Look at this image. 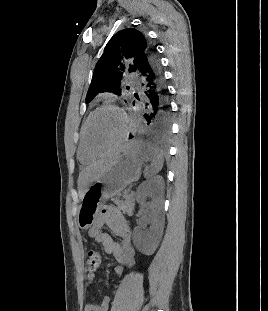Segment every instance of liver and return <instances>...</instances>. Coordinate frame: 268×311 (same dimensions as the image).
<instances>
[{
	"label": "liver",
	"instance_id": "obj_1",
	"mask_svg": "<svg viewBox=\"0 0 268 311\" xmlns=\"http://www.w3.org/2000/svg\"><path fill=\"white\" fill-rule=\"evenodd\" d=\"M114 158L104 159L97 161L90 166L86 167L78 178L79 188L82 190V195L87 189L88 185L99 178Z\"/></svg>",
	"mask_w": 268,
	"mask_h": 311
}]
</instances>
